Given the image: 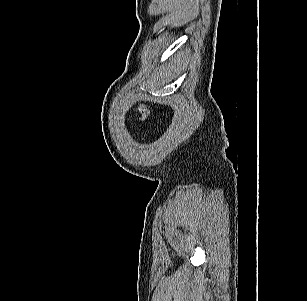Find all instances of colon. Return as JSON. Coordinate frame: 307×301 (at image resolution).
<instances>
[{
	"instance_id": "1",
	"label": "colon",
	"mask_w": 307,
	"mask_h": 301,
	"mask_svg": "<svg viewBox=\"0 0 307 301\" xmlns=\"http://www.w3.org/2000/svg\"><path fill=\"white\" fill-rule=\"evenodd\" d=\"M149 115V110L145 105H139L136 111V120L143 121Z\"/></svg>"
}]
</instances>
